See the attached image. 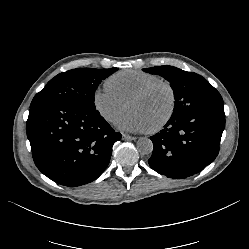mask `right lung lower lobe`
Returning <instances> with one entry per match:
<instances>
[{
    "instance_id": "right-lung-lower-lobe-1",
    "label": "right lung lower lobe",
    "mask_w": 249,
    "mask_h": 249,
    "mask_svg": "<svg viewBox=\"0 0 249 249\" xmlns=\"http://www.w3.org/2000/svg\"><path fill=\"white\" fill-rule=\"evenodd\" d=\"M27 137L38 169L59 184L76 187L102 174L121 134L96 109L59 102L30 108Z\"/></svg>"
}]
</instances>
